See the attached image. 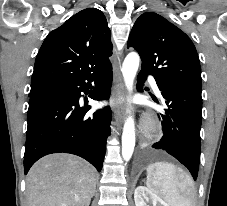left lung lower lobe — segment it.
<instances>
[{"label": "left lung lower lobe", "mask_w": 227, "mask_h": 206, "mask_svg": "<svg viewBox=\"0 0 227 206\" xmlns=\"http://www.w3.org/2000/svg\"><path fill=\"white\" fill-rule=\"evenodd\" d=\"M147 75L149 74L142 70L139 73L138 91H142L141 83L145 82ZM155 80L167 107L158 114L162 122L163 137L152 147L174 156L188 168L196 180L200 161L201 89L159 78Z\"/></svg>", "instance_id": "1"}]
</instances>
